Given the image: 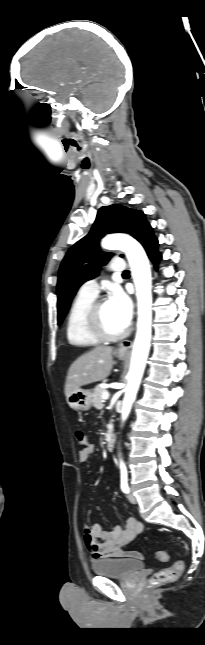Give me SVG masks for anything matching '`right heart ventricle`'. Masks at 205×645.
Listing matches in <instances>:
<instances>
[{
	"label": "right heart ventricle",
	"instance_id": "e07e8e85",
	"mask_svg": "<svg viewBox=\"0 0 205 645\" xmlns=\"http://www.w3.org/2000/svg\"><path fill=\"white\" fill-rule=\"evenodd\" d=\"M95 298L80 291L74 297L66 319V337L71 345L89 347L100 344L101 341L89 332L86 325V314Z\"/></svg>",
	"mask_w": 205,
	"mask_h": 645
}]
</instances>
